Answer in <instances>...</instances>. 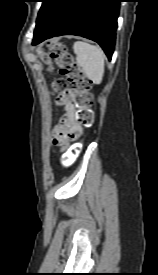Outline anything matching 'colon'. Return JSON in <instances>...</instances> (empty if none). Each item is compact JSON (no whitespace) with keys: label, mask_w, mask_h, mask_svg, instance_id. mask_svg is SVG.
Masks as SVG:
<instances>
[{"label":"colon","mask_w":158,"mask_h":275,"mask_svg":"<svg viewBox=\"0 0 158 275\" xmlns=\"http://www.w3.org/2000/svg\"><path fill=\"white\" fill-rule=\"evenodd\" d=\"M42 57L51 67L58 68L61 76L53 81L52 90L61 93L67 89L69 84L74 92L77 108L76 122L82 127H91L94 120L91 82L75 62L66 45L61 41L52 42L49 45L48 54H43ZM77 149L78 147L74 151L76 152Z\"/></svg>","instance_id":"1"}]
</instances>
